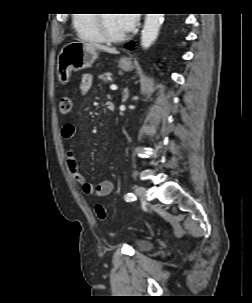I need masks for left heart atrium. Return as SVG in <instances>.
I'll return each instance as SVG.
<instances>
[{
	"mask_svg": "<svg viewBox=\"0 0 252 303\" xmlns=\"http://www.w3.org/2000/svg\"><path fill=\"white\" fill-rule=\"evenodd\" d=\"M120 15L121 23L126 31L131 30L135 27L138 16L137 14H118Z\"/></svg>",
	"mask_w": 252,
	"mask_h": 303,
	"instance_id": "1",
	"label": "left heart atrium"
}]
</instances>
